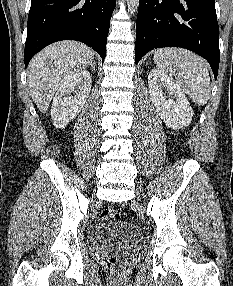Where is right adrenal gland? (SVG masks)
I'll return each mask as SVG.
<instances>
[{"mask_svg": "<svg viewBox=\"0 0 233 286\" xmlns=\"http://www.w3.org/2000/svg\"><path fill=\"white\" fill-rule=\"evenodd\" d=\"M95 62H93L92 64H91V67H92V70H95Z\"/></svg>", "mask_w": 233, "mask_h": 286, "instance_id": "1", "label": "right adrenal gland"}]
</instances>
